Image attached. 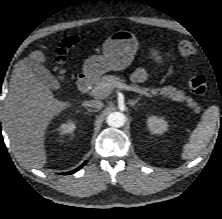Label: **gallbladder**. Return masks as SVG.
Returning <instances> with one entry per match:
<instances>
[{
  "mask_svg": "<svg viewBox=\"0 0 222 219\" xmlns=\"http://www.w3.org/2000/svg\"><path fill=\"white\" fill-rule=\"evenodd\" d=\"M32 66L33 72L36 74L37 78L46 84L52 90H60L61 84L59 81L51 74V72L37 61H33Z\"/></svg>",
  "mask_w": 222,
  "mask_h": 219,
  "instance_id": "1",
  "label": "gallbladder"
}]
</instances>
